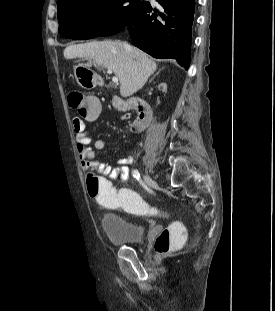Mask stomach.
Returning a JSON list of instances; mask_svg holds the SVG:
<instances>
[{
  "label": "stomach",
  "instance_id": "obj_1",
  "mask_svg": "<svg viewBox=\"0 0 275 311\" xmlns=\"http://www.w3.org/2000/svg\"><path fill=\"white\" fill-rule=\"evenodd\" d=\"M74 75L77 83L83 88H93L98 83L96 73L90 70L88 67L77 66L74 69Z\"/></svg>",
  "mask_w": 275,
  "mask_h": 311
}]
</instances>
